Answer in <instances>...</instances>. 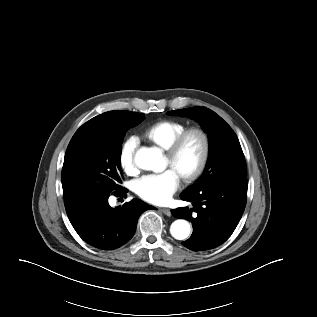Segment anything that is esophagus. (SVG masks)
Returning a JSON list of instances; mask_svg holds the SVG:
<instances>
[{
	"mask_svg": "<svg viewBox=\"0 0 317 317\" xmlns=\"http://www.w3.org/2000/svg\"><path fill=\"white\" fill-rule=\"evenodd\" d=\"M161 212H163L166 216H171V210L168 208H161Z\"/></svg>",
	"mask_w": 317,
	"mask_h": 317,
	"instance_id": "esophagus-1",
	"label": "esophagus"
}]
</instances>
